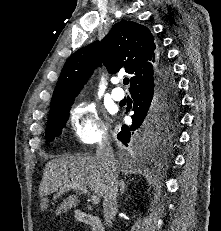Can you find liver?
Returning <instances> with one entry per match:
<instances>
[{
  "instance_id": "6515ba94",
  "label": "liver",
  "mask_w": 221,
  "mask_h": 231,
  "mask_svg": "<svg viewBox=\"0 0 221 231\" xmlns=\"http://www.w3.org/2000/svg\"><path fill=\"white\" fill-rule=\"evenodd\" d=\"M71 186L88 187L100 197H104L105 176L96 157L89 154H63L47 163L39 187L41 210L49 207L48 196L58 189L63 192L71 190ZM79 203L77 195H71L57 207L55 214L60 215L75 208Z\"/></svg>"
}]
</instances>
